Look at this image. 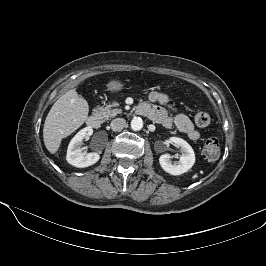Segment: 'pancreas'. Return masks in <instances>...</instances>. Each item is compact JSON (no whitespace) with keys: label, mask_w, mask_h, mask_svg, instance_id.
<instances>
[{"label":"pancreas","mask_w":266,"mask_h":266,"mask_svg":"<svg viewBox=\"0 0 266 266\" xmlns=\"http://www.w3.org/2000/svg\"><path fill=\"white\" fill-rule=\"evenodd\" d=\"M119 104L117 102H114L112 104H108L105 107H97V112L105 119L112 118L117 116L122 112L121 109L119 108H114L117 107Z\"/></svg>","instance_id":"obj_1"}]
</instances>
